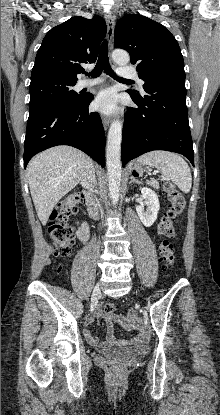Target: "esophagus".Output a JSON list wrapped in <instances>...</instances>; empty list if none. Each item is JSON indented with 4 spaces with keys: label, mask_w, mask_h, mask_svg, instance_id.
<instances>
[{
    "label": "esophagus",
    "mask_w": 220,
    "mask_h": 415,
    "mask_svg": "<svg viewBox=\"0 0 220 415\" xmlns=\"http://www.w3.org/2000/svg\"><path fill=\"white\" fill-rule=\"evenodd\" d=\"M106 23H107V40L109 44V50L111 51L113 48V36H114V27H115V19L111 12H109L106 16ZM102 122H103L104 128L107 129L110 123V118L107 116H103Z\"/></svg>",
    "instance_id": "esophagus-1"
}]
</instances>
